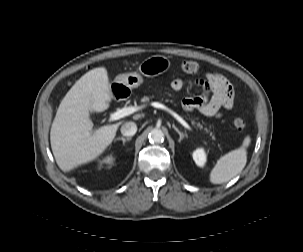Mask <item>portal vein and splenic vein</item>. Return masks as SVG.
Here are the masks:
<instances>
[{
    "instance_id": "18ae733b",
    "label": "portal vein and splenic vein",
    "mask_w": 303,
    "mask_h": 252,
    "mask_svg": "<svg viewBox=\"0 0 303 252\" xmlns=\"http://www.w3.org/2000/svg\"><path fill=\"white\" fill-rule=\"evenodd\" d=\"M151 105L154 106L155 108L162 109V110L169 112L185 128H187L188 130H192L190 125L181 116H179L176 112H174L173 110H171L164 104H161L159 102H153V103H151ZM143 107L144 106L122 108V109L118 110L117 112L110 114L109 122H113V121L119 120L125 116H128L130 114H133L134 112L142 109Z\"/></svg>"
}]
</instances>
